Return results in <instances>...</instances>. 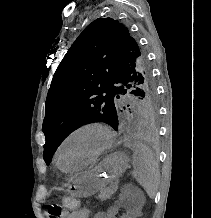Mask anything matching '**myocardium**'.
<instances>
[{
    "label": "myocardium",
    "instance_id": "f54148a6",
    "mask_svg": "<svg viewBox=\"0 0 211 218\" xmlns=\"http://www.w3.org/2000/svg\"><path fill=\"white\" fill-rule=\"evenodd\" d=\"M84 131H95L103 136L104 142L103 145L99 148V150L85 163L80 164L79 168L87 167L97 161L103 154H105L110 147L112 146L114 140V134L110 127L103 122L100 121H89L78 125L73 128L70 132H68L65 137L61 140L60 144L56 150V161L58 165H61V153L65 144L75 137L76 135L84 132Z\"/></svg>",
    "mask_w": 211,
    "mask_h": 218
}]
</instances>
